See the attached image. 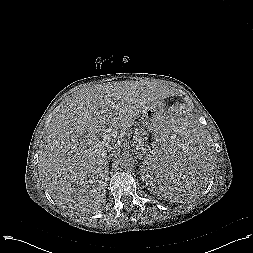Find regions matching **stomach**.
I'll list each match as a JSON object with an SVG mask.
<instances>
[{
    "mask_svg": "<svg viewBox=\"0 0 253 253\" xmlns=\"http://www.w3.org/2000/svg\"><path fill=\"white\" fill-rule=\"evenodd\" d=\"M162 114V109H159L156 105L150 107L142 115L143 127L146 128L148 131L155 133V131L159 128L162 118L165 116V114Z\"/></svg>",
    "mask_w": 253,
    "mask_h": 253,
    "instance_id": "obj_1",
    "label": "stomach"
}]
</instances>
